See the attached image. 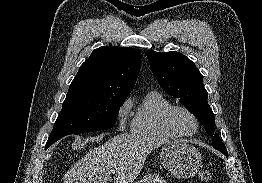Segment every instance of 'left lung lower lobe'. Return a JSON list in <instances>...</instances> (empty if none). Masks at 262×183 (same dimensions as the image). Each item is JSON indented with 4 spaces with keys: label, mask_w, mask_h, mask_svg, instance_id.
I'll use <instances>...</instances> for the list:
<instances>
[{
    "label": "left lung lower lobe",
    "mask_w": 262,
    "mask_h": 183,
    "mask_svg": "<svg viewBox=\"0 0 262 183\" xmlns=\"http://www.w3.org/2000/svg\"><path fill=\"white\" fill-rule=\"evenodd\" d=\"M216 149V148H215ZM221 152V151H220ZM224 155L228 156L227 152H222Z\"/></svg>",
    "instance_id": "1"
}]
</instances>
